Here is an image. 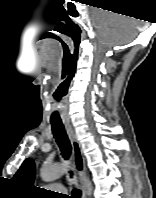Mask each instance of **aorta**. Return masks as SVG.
Instances as JSON below:
<instances>
[{
	"mask_svg": "<svg viewBox=\"0 0 156 198\" xmlns=\"http://www.w3.org/2000/svg\"><path fill=\"white\" fill-rule=\"evenodd\" d=\"M65 172V167L61 164H44L40 170V175L43 181L52 182L58 179ZM85 185L88 195L92 192L91 183L85 179Z\"/></svg>",
	"mask_w": 156,
	"mask_h": 198,
	"instance_id": "1",
	"label": "aorta"
}]
</instances>
